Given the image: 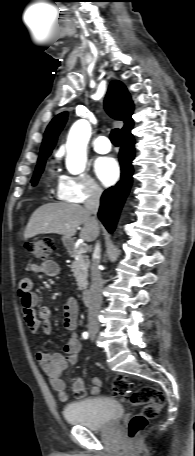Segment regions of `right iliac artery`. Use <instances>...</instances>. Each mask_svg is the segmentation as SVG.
Segmentation results:
<instances>
[{
    "instance_id": "82829eb1",
    "label": "right iliac artery",
    "mask_w": 195,
    "mask_h": 456,
    "mask_svg": "<svg viewBox=\"0 0 195 456\" xmlns=\"http://www.w3.org/2000/svg\"><path fill=\"white\" fill-rule=\"evenodd\" d=\"M82 337L84 339H87L89 337V333L88 332H83Z\"/></svg>"
}]
</instances>
